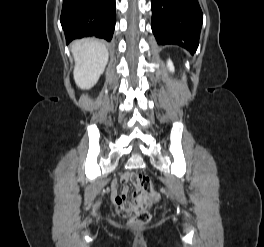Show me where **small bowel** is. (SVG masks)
Wrapping results in <instances>:
<instances>
[{"label":"small bowel","mask_w":264,"mask_h":247,"mask_svg":"<svg viewBox=\"0 0 264 247\" xmlns=\"http://www.w3.org/2000/svg\"><path fill=\"white\" fill-rule=\"evenodd\" d=\"M129 178H130V174L125 173L124 175H122L121 180H122V182L125 183L129 180ZM127 193H128L127 187H124L121 192H118L117 191V184L115 183L112 185V198H113V201L115 204L126 199Z\"/></svg>","instance_id":"1"}]
</instances>
